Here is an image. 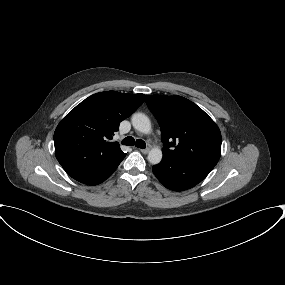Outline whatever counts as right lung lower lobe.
Masks as SVG:
<instances>
[{
  "instance_id": "98d812e1",
  "label": "right lung lower lobe",
  "mask_w": 285,
  "mask_h": 285,
  "mask_svg": "<svg viewBox=\"0 0 285 285\" xmlns=\"http://www.w3.org/2000/svg\"><path fill=\"white\" fill-rule=\"evenodd\" d=\"M124 157L109 165L100 167H84L76 162L62 165V167L70 177L78 182L87 185H98L105 181L117 169Z\"/></svg>"
}]
</instances>
